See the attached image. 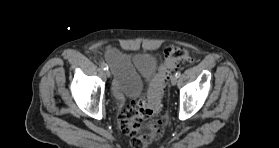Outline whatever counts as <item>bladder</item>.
Returning <instances> with one entry per match:
<instances>
[{
  "label": "bladder",
  "mask_w": 279,
  "mask_h": 148,
  "mask_svg": "<svg viewBox=\"0 0 279 148\" xmlns=\"http://www.w3.org/2000/svg\"><path fill=\"white\" fill-rule=\"evenodd\" d=\"M139 60L138 70L144 77H148L156 68V58L152 54L140 55L137 57ZM131 58H127L131 64Z\"/></svg>",
  "instance_id": "31cf9c89"
}]
</instances>
